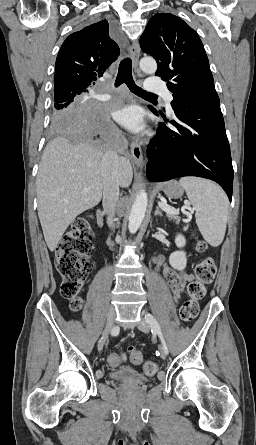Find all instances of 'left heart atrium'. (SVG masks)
Returning a JSON list of instances; mask_svg holds the SVG:
<instances>
[{"label": "left heart atrium", "mask_w": 256, "mask_h": 445, "mask_svg": "<svg viewBox=\"0 0 256 445\" xmlns=\"http://www.w3.org/2000/svg\"><path fill=\"white\" fill-rule=\"evenodd\" d=\"M115 120L125 128L139 132L144 128L142 111L135 105L119 108L113 113Z\"/></svg>", "instance_id": "1"}]
</instances>
